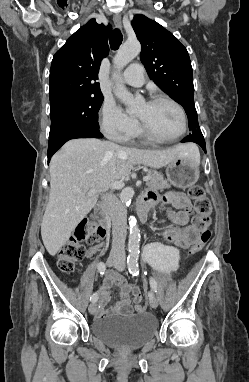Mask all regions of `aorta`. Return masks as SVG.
<instances>
[{
    "instance_id": "1",
    "label": "aorta",
    "mask_w": 249,
    "mask_h": 382,
    "mask_svg": "<svg viewBox=\"0 0 249 382\" xmlns=\"http://www.w3.org/2000/svg\"><path fill=\"white\" fill-rule=\"evenodd\" d=\"M141 51V45L137 40L126 41L117 51L114 57V66L117 69L115 77H119V72L131 62ZM115 96L120 99L130 110L135 107V100L126 87L117 83L114 89ZM134 195L132 188L124 189L120 195L121 201L128 206ZM130 235L128 240V251L131 256L136 257L140 247V230L136 225L134 217H130Z\"/></svg>"
}]
</instances>
